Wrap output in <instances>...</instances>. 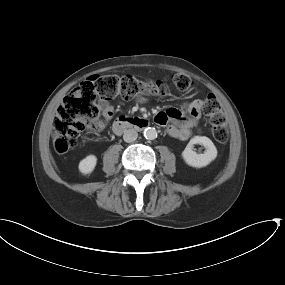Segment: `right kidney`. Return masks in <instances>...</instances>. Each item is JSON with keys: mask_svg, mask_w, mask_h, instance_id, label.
<instances>
[{"mask_svg": "<svg viewBox=\"0 0 285 285\" xmlns=\"http://www.w3.org/2000/svg\"><path fill=\"white\" fill-rule=\"evenodd\" d=\"M96 164H97L96 156L89 155L80 161L79 171L84 175L90 174L94 170Z\"/></svg>", "mask_w": 285, "mask_h": 285, "instance_id": "ca27d5eb", "label": "right kidney"}]
</instances>
